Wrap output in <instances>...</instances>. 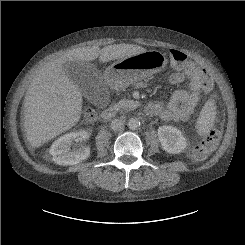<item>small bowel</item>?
<instances>
[{
	"label": "small bowel",
	"instance_id": "1",
	"mask_svg": "<svg viewBox=\"0 0 245 245\" xmlns=\"http://www.w3.org/2000/svg\"><path fill=\"white\" fill-rule=\"evenodd\" d=\"M201 75L210 77L207 70L194 62H189L186 66L175 71L170 76V82L174 85H181L187 81L189 89L176 90L166 104L162 101H155L152 104L153 108L147 109V112L168 121L187 120L198 105L202 92H204L199 84Z\"/></svg>",
	"mask_w": 245,
	"mask_h": 245
}]
</instances>
